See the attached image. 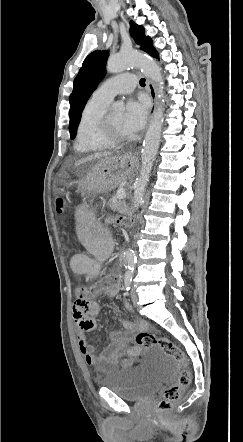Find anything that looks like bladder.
Here are the masks:
<instances>
[{
  "mask_svg": "<svg viewBox=\"0 0 243 442\" xmlns=\"http://www.w3.org/2000/svg\"><path fill=\"white\" fill-rule=\"evenodd\" d=\"M171 358L166 354L152 353L137 365L106 373L98 379V384L124 400L146 399L174 378L176 362Z\"/></svg>",
  "mask_w": 243,
  "mask_h": 442,
  "instance_id": "obj_1",
  "label": "bladder"
}]
</instances>
